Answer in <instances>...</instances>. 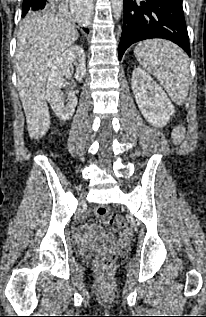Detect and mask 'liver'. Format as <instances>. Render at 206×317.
<instances>
[{
    "mask_svg": "<svg viewBox=\"0 0 206 317\" xmlns=\"http://www.w3.org/2000/svg\"><path fill=\"white\" fill-rule=\"evenodd\" d=\"M77 39L78 31L69 20L50 13L31 17L19 28L15 54L17 87L32 139L43 137L50 127L45 95L49 69Z\"/></svg>",
    "mask_w": 206,
    "mask_h": 317,
    "instance_id": "obj_1",
    "label": "liver"
}]
</instances>
